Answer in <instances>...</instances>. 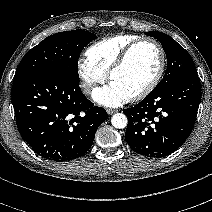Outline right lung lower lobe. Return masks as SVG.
<instances>
[{
	"instance_id": "right-lung-lower-lobe-1",
	"label": "right lung lower lobe",
	"mask_w": 212,
	"mask_h": 212,
	"mask_svg": "<svg viewBox=\"0 0 212 212\" xmlns=\"http://www.w3.org/2000/svg\"><path fill=\"white\" fill-rule=\"evenodd\" d=\"M12 101L19 133L43 158L68 161L84 155L107 119L77 82L51 71L14 78Z\"/></svg>"
}]
</instances>
